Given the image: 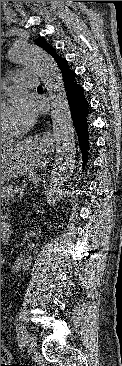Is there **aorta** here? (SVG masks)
Here are the masks:
<instances>
[{"label": "aorta", "instance_id": "1", "mask_svg": "<svg viewBox=\"0 0 122 366\" xmlns=\"http://www.w3.org/2000/svg\"><path fill=\"white\" fill-rule=\"evenodd\" d=\"M10 61L34 71L43 81L51 100L52 133L56 154L48 184V201L63 189L75 168V129L66 91L55 59L41 47L15 43L9 49Z\"/></svg>", "mask_w": 122, "mask_h": 366}]
</instances>
